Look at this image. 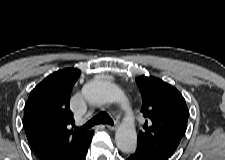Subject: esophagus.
Here are the masks:
<instances>
[{
    "mask_svg": "<svg viewBox=\"0 0 225 160\" xmlns=\"http://www.w3.org/2000/svg\"><path fill=\"white\" fill-rule=\"evenodd\" d=\"M106 128L110 129V130H115L118 126V119L115 120V124L114 125H110V124H105L104 125Z\"/></svg>",
    "mask_w": 225,
    "mask_h": 160,
    "instance_id": "esophagus-1",
    "label": "esophagus"
}]
</instances>
